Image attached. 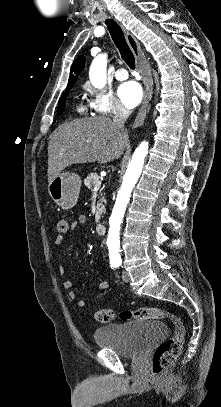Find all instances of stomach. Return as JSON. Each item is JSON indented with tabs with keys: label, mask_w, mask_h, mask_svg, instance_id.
Returning <instances> with one entry per match:
<instances>
[{
	"label": "stomach",
	"mask_w": 221,
	"mask_h": 407,
	"mask_svg": "<svg viewBox=\"0 0 221 407\" xmlns=\"http://www.w3.org/2000/svg\"><path fill=\"white\" fill-rule=\"evenodd\" d=\"M81 178L73 172L59 173L48 185V192L54 202L64 210L73 208L79 197Z\"/></svg>",
	"instance_id": "1"
}]
</instances>
